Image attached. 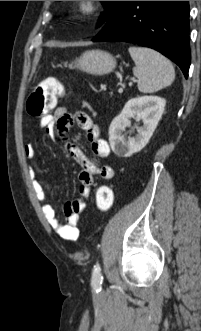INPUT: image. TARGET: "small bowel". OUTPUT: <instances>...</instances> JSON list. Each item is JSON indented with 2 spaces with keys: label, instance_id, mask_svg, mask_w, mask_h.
I'll list each match as a JSON object with an SVG mask.
<instances>
[{
  "label": "small bowel",
  "instance_id": "small-bowel-1",
  "mask_svg": "<svg viewBox=\"0 0 201 331\" xmlns=\"http://www.w3.org/2000/svg\"><path fill=\"white\" fill-rule=\"evenodd\" d=\"M40 125L53 140L58 137L64 138L70 128L77 125L85 132L94 155L102 159H106L110 155L109 145L100 137L99 127L84 112L71 114L65 107H59L53 114L43 116ZM64 146L68 155L71 156L81 168L79 174L81 181L79 188L80 198L68 201L65 204V223L59 221L54 208L46 203L45 189L33 167L29 168V176L32 181L33 190L38 200L42 203V210L49 225L61 238L73 241L79 236V216L85 209V199L89 198L91 194L94 176L98 175L104 180H110L114 176V170L109 164H96L91 161L83 151L72 142L64 140ZM24 153L29 161H32L36 156V150L32 144L25 145Z\"/></svg>",
  "mask_w": 201,
  "mask_h": 331
}]
</instances>
